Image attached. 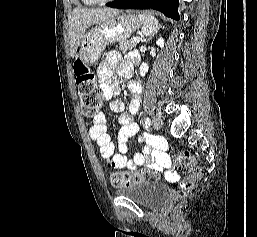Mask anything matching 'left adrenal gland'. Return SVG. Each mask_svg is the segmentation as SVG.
Listing matches in <instances>:
<instances>
[{
    "mask_svg": "<svg viewBox=\"0 0 257 237\" xmlns=\"http://www.w3.org/2000/svg\"><path fill=\"white\" fill-rule=\"evenodd\" d=\"M160 28H162V26L161 25H158V29H160ZM151 38V37H150ZM149 40V39H148ZM143 41H146V40H143Z\"/></svg>",
    "mask_w": 257,
    "mask_h": 237,
    "instance_id": "left-adrenal-gland-1",
    "label": "left adrenal gland"
}]
</instances>
